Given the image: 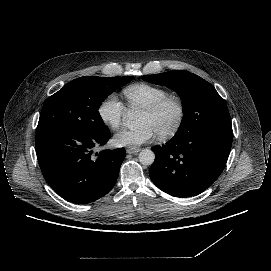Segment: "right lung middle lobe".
I'll return each instance as SVG.
<instances>
[{
  "mask_svg": "<svg viewBox=\"0 0 271 271\" xmlns=\"http://www.w3.org/2000/svg\"><path fill=\"white\" fill-rule=\"evenodd\" d=\"M133 78L85 76L72 80L46 100L36 133L53 128L93 133L106 128L98 113L101 103Z\"/></svg>",
  "mask_w": 271,
  "mask_h": 271,
  "instance_id": "right-lung-middle-lobe-1",
  "label": "right lung middle lobe"
}]
</instances>
